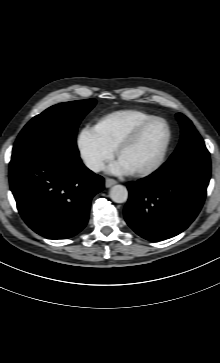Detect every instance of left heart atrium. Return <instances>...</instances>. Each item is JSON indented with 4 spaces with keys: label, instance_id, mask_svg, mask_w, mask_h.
I'll return each instance as SVG.
<instances>
[{
    "label": "left heart atrium",
    "instance_id": "obj_1",
    "mask_svg": "<svg viewBox=\"0 0 220 363\" xmlns=\"http://www.w3.org/2000/svg\"><path fill=\"white\" fill-rule=\"evenodd\" d=\"M107 171L114 175H127L132 173L131 168L120 159H117L114 162H112L108 166Z\"/></svg>",
    "mask_w": 220,
    "mask_h": 363
}]
</instances>
